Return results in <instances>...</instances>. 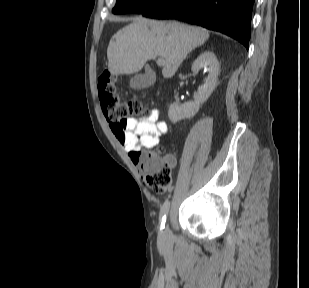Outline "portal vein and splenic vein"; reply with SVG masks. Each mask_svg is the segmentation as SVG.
Segmentation results:
<instances>
[{
  "label": "portal vein and splenic vein",
  "mask_w": 309,
  "mask_h": 288,
  "mask_svg": "<svg viewBox=\"0 0 309 288\" xmlns=\"http://www.w3.org/2000/svg\"><path fill=\"white\" fill-rule=\"evenodd\" d=\"M156 63L158 66H164L165 65V60L162 57L157 58Z\"/></svg>",
  "instance_id": "obj_1"
}]
</instances>
